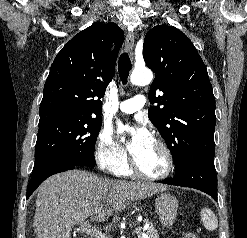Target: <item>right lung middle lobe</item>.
<instances>
[{"label": "right lung middle lobe", "instance_id": "obj_1", "mask_svg": "<svg viewBox=\"0 0 247 238\" xmlns=\"http://www.w3.org/2000/svg\"><path fill=\"white\" fill-rule=\"evenodd\" d=\"M101 125V117L60 119L39 124L33 172L58 160L93 167L95 143Z\"/></svg>", "mask_w": 247, "mask_h": 238}]
</instances>
